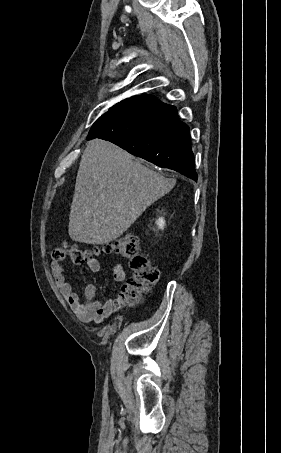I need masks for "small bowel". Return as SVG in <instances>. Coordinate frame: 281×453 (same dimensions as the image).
Segmentation results:
<instances>
[{
	"instance_id": "obj_1",
	"label": "small bowel",
	"mask_w": 281,
	"mask_h": 453,
	"mask_svg": "<svg viewBox=\"0 0 281 453\" xmlns=\"http://www.w3.org/2000/svg\"><path fill=\"white\" fill-rule=\"evenodd\" d=\"M87 267L94 273L100 274L102 272L100 262L97 259H87ZM52 272L56 278L57 285L62 294L66 297L67 301L76 310L79 318L85 322L99 323L102 319L109 316L110 313L121 304V297L116 296L105 303L96 299L99 287L95 283H87L84 289L85 301L81 302L79 295L73 289L70 282L66 279L65 270L60 262V258L54 259L51 262ZM114 280L118 283L124 282L126 272L121 264H117L114 268Z\"/></svg>"
}]
</instances>
